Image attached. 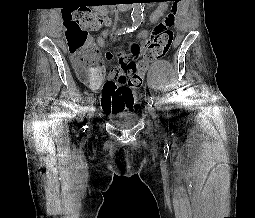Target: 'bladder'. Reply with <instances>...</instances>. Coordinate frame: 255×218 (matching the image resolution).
<instances>
[{
    "label": "bladder",
    "instance_id": "bladder-1",
    "mask_svg": "<svg viewBox=\"0 0 255 218\" xmlns=\"http://www.w3.org/2000/svg\"><path fill=\"white\" fill-rule=\"evenodd\" d=\"M137 120V115L133 113L118 112L110 116V121L120 128H130Z\"/></svg>",
    "mask_w": 255,
    "mask_h": 218
}]
</instances>
